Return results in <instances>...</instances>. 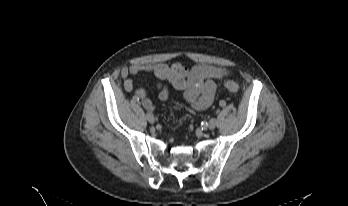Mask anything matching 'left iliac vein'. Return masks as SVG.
Wrapping results in <instances>:
<instances>
[{
  "instance_id": "4c4485c4",
  "label": "left iliac vein",
  "mask_w": 348,
  "mask_h": 206,
  "mask_svg": "<svg viewBox=\"0 0 348 206\" xmlns=\"http://www.w3.org/2000/svg\"><path fill=\"white\" fill-rule=\"evenodd\" d=\"M217 125V120L215 118H212L208 123V128L210 130H213Z\"/></svg>"
}]
</instances>
